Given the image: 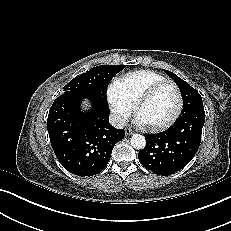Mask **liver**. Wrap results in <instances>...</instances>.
Instances as JSON below:
<instances>
[{
  "instance_id": "obj_1",
  "label": "liver",
  "mask_w": 231,
  "mask_h": 231,
  "mask_svg": "<svg viewBox=\"0 0 231 231\" xmlns=\"http://www.w3.org/2000/svg\"><path fill=\"white\" fill-rule=\"evenodd\" d=\"M80 108L82 112H88L92 108V102L89 98H84L80 103Z\"/></svg>"
}]
</instances>
